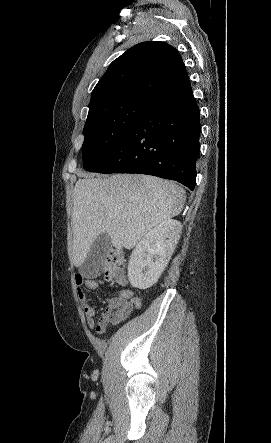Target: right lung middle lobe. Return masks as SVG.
<instances>
[{"label":"right lung middle lobe","mask_w":271,"mask_h":443,"mask_svg":"<svg viewBox=\"0 0 271 443\" xmlns=\"http://www.w3.org/2000/svg\"><path fill=\"white\" fill-rule=\"evenodd\" d=\"M151 102L123 99L95 107L84 127L83 167L95 171L117 149Z\"/></svg>","instance_id":"1"}]
</instances>
